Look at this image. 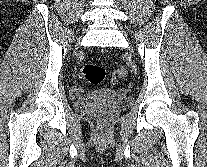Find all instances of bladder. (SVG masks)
<instances>
[{
	"label": "bladder",
	"instance_id": "obj_1",
	"mask_svg": "<svg viewBox=\"0 0 207 167\" xmlns=\"http://www.w3.org/2000/svg\"><path fill=\"white\" fill-rule=\"evenodd\" d=\"M117 96L116 92L107 91V90H98L90 92L86 95V98L89 100H106L113 99Z\"/></svg>",
	"mask_w": 207,
	"mask_h": 167
}]
</instances>
